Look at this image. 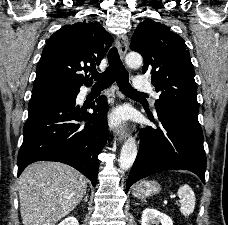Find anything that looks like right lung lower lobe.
<instances>
[{
    "instance_id": "1",
    "label": "right lung lower lobe",
    "mask_w": 228,
    "mask_h": 225,
    "mask_svg": "<svg viewBox=\"0 0 228 225\" xmlns=\"http://www.w3.org/2000/svg\"><path fill=\"white\" fill-rule=\"evenodd\" d=\"M75 93L57 94L31 100L18 154V176L36 161H57L84 174L95 186L98 154L108 137L107 99L101 96L91 105L94 113L75 106ZM97 116L101 120L95 119ZM89 120L85 125L74 121Z\"/></svg>"
}]
</instances>
